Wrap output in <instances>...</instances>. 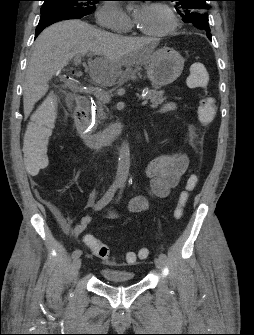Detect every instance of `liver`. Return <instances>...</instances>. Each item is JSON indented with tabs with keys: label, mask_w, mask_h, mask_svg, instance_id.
I'll return each mask as SVG.
<instances>
[{
	"label": "liver",
	"mask_w": 254,
	"mask_h": 335,
	"mask_svg": "<svg viewBox=\"0 0 254 335\" xmlns=\"http://www.w3.org/2000/svg\"><path fill=\"white\" fill-rule=\"evenodd\" d=\"M153 48L147 38L127 37L97 29L80 20L55 23L37 37L23 84L24 116L47 93L52 76L78 55L97 56L89 62L91 78L103 87L116 84L122 66L147 65Z\"/></svg>",
	"instance_id": "liver-1"
}]
</instances>
